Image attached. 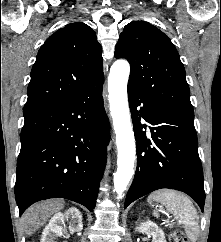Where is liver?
Wrapping results in <instances>:
<instances>
[{"instance_id":"6515ba94","label":"liver","mask_w":221,"mask_h":242,"mask_svg":"<svg viewBox=\"0 0 221 242\" xmlns=\"http://www.w3.org/2000/svg\"><path fill=\"white\" fill-rule=\"evenodd\" d=\"M64 201L61 199H51L31 206L22 216L24 231L27 236H31L48 219L64 208Z\"/></svg>"}]
</instances>
